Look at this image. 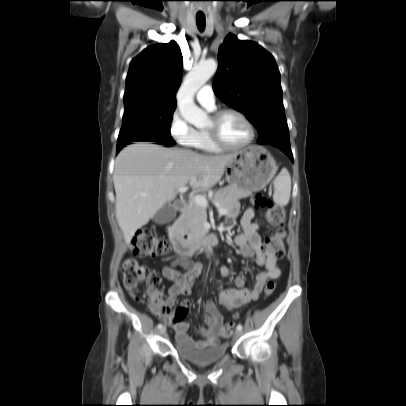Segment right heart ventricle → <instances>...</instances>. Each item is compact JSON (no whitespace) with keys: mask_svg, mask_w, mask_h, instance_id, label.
Masks as SVG:
<instances>
[{"mask_svg":"<svg viewBox=\"0 0 406 406\" xmlns=\"http://www.w3.org/2000/svg\"><path fill=\"white\" fill-rule=\"evenodd\" d=\"M193 146L207 152H217L220 149L212 142L206 130H202L199 132L197 140L195 141Z\"/></svg>","mask_w":406,"mask_h":406,"instance_id":"e07e8e85","label":"right heart ventricle"}]
</instances>
